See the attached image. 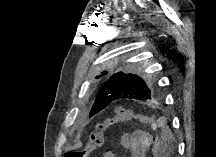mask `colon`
<instances>
[{
    "label": "colon",
    "mask_w": 216,
    "mask_h": 157,
    "mask_svg": "<svg viewBox=\"0 0 216 157\" xmlns=\"http://www.w3.org/2000/svg\"><path fill=\"white\" fill-rule=\"evenodd\" d=\"M131 120L149 124L154 128L160 124L151 114L139 113L124 107H118L114 109L110 116L105 117L94 124L83 149L67 151L64 157H89L102 146L105 131L110 125Z\"/></svg>",
    "instance_id": "colon-1"
}]
</instances>
